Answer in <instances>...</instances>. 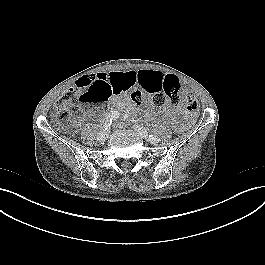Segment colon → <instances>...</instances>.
Instances as JSON below:
<instances>
[{
    "mask_svg": "<svg viewBox=\"0 0 265 265\" xmlns=\"http://www.w3.org/2000/svg\"><path fill=\"white\" fill-rule=\"evenodd\" d=\"M104 76H84L80 78L75 87L70 88L57 103L54 111L55 118L60 122H67L71 116V109L76 100L104 101L112 94ZM151 101L156 107H164L167 103L178 106L184 100L183 106L187 112L193 113L199 109L200 103L196 97L184 94L183 86L174 75H166L161 85L151 89ZM131 100L135 106H140L143 93L136 90L131 93Z\"/></svg>",
    "mask_w": 265,
    "mask_h": 265,
    "instance_id": "5ec220e1",
    "label": "colon"
}]
</instances>
